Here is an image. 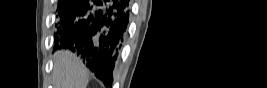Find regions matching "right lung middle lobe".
Wrapping results in <instances>:
<instances>
[{"mask_svg":"<svg viewBox=\"0 0 267 88\" xmlns=\"http://www.w3.org/2000/svg\"><path fill=\"white\" fill-rule=\"evenodd\" d=\"M68 2L69 0H59L58 9H62Z\"/></svg>","mask_w":267,"mask_h":88,"instance_id":"1","label":"right lung middle lobe"}]
</instances>
